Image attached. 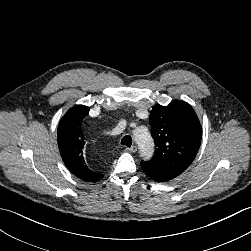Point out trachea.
Here are the masks:
<instances>
[{
	"mask_svg": "<svg viewBox=\"0 0 251 251\" xmlns=\"http://www.w3.org/2000/svg\"><path fill=\"white\" fill-rule=\"evenodd\" d=\"M121 144L125 145L127 147H131V145H132V138H131V136H129V135L124 136L122 138V140H121Z\"/></svg>",
	"mask_w": 251,
	"mask_h": 251,
	"instance_id": "3493384b",
	"label": "trachea"
}]
</instances>
